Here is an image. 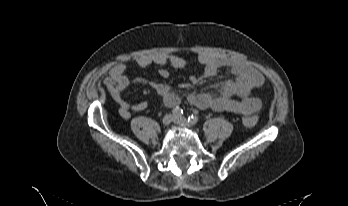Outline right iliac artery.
<instances>
[{"label": "right iliac artery", "instance_id": "82829eb1", "mask_svg": "<svg viewBox=\"0 0 348 206\" xmlns=\"http://www.w3.org/2000/svg\"><path fill=\"white\" fill-rule=\"evenodd\" d=\"M172 113L175 117L179 118V117H182L183 115V110L179 107H176L172 110Z\"/></svg>", "mask_w": 348, "mask_h": 206}]
</instances>
